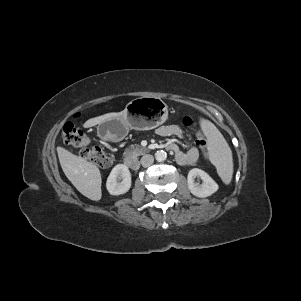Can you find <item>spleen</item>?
Listing matches in <instances>:
<instances>
[{
	"label": "spleen",
	"instance_id": "spleen-1",
	"mask_svg": "<svg viewBox=\"0 0 301 301\" xmlns=\"http://www.w3.org/2000/svg\"><path fill=\"white\" fill-rule=\"evenodd\" d=\"M200 125L209 140L210 161L216 167L222 181L225 184H229L233 175L231 149L213 123L206 119H201Z\"/></svg>",
	"mask_w": 301,
	"mask_h": 301
}]
</instances>
